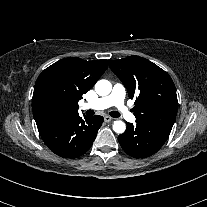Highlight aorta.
<instances>
[{
  "label": "aorta",
  "instance_id": "1",
  "mask_svg": "<svg viewBox=\"0 0 207 207\" xmlns=\"http://www.w3.org/2000/svg\"><path fill=\"white\" fill-rule=\"evenodd\" d=\"M111 90H112V85L108 80L102 79L95 84V91L100 96H107L108 94H110ZM125 129H126V125L123 121L121 120L114 121L113 130L116 133L121 134L125 131Z\"/></svg>",
  "mask_w": 207,
  "mask_h": 207
}]
</instances>
